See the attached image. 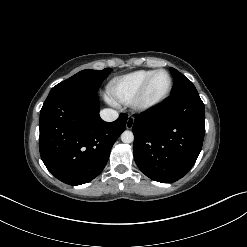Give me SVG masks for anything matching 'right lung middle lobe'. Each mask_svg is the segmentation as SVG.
Segmentation results:
<instances>
[{"instance_id": "1", "label": "right lung middle lobe", "mask_w": 247, "mask_h": 247, "mask_svg": "<svg viewBox=\"0 0 247 247\" xmlns=\"http://www.w3.org/2000/svg\"><path fill=\"white\" fill-rule=\"evenodd\" d=\"M111 71V68H105L101 71L91 69L82 70L67 80L54 86L49 94L61 91H83L96 93L101 82Z\"/></svg>"}]
</instances>
